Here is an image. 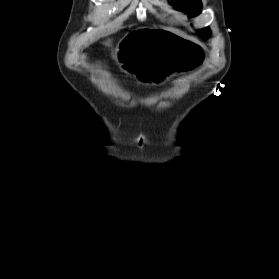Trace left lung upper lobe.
I'll use <instances>...</instances> for the list:
<instances>
[{"label":"left lung upper lobe","instance_id":"left-lung-upper-lobe-1","mask_svg":"<svg viewBox=\"0 0 279 279\" xmlns=\"http://www.w3.org/2000/svg\"><path fill=\"white\" fill-rule=\"evenodd\" d=\"M171 4L178 10H182L189 16H196L200 13L202 4L200 0H171ZM210 34V30L205 28L199 31V35L206 38Z\"/></svg>","mask_w":279,"mask_h":279}]
</instances>
